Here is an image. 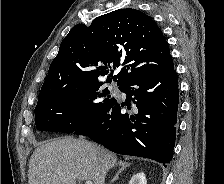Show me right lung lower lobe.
<instances>
[{"label":"right lung lower lobe","instance_id":"98d812e1","mask_svg":"<svg viewBox=\"0 0 224 184\" xmlns=\"http://www.w3.org/2000/svg\"><path fill=\"white\" fill-rule=\"evenodd\" d=\"M120 90L126 102L115 100L94 121L74 131L88 136L107 149L169 163L175 146L179 102L178 78L174 67L126 81ZM132 112L125 113L126 106Z\"/></svg>","mask_w":224,"mask_h":184}]
</instances>
